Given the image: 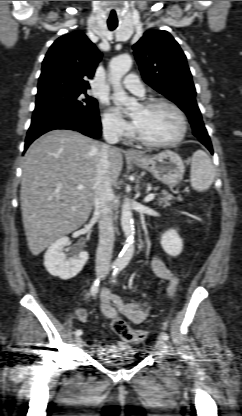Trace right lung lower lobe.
<instances>
[{"label": "right lung lower lobe", "instance_id": "98d812e1", "mask_svg": "<svg viewBox=\"0 0 242 416\" xmlns=\"http://www.w3.org/2000/svg\"><path fill=\"white\" fill-rule=\"evenodd\" d=\"M55 129H70L83 133L92 138L101 135L99 114L88 118L76 117L61 111H46L33 116L27 132L24 151L40 135Z\"/></svg>", "mask_w": 242, "mask_h": 416}]
</instances>
